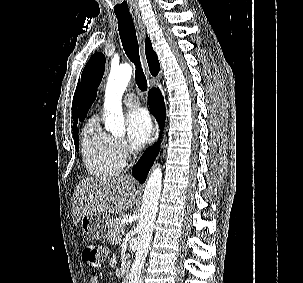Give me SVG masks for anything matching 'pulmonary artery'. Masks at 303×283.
I'll list each match as a JSON object with an SVG mask.
<instances>
[{"label":"pulmonary artery","mask_w":303,"mask_h":283,"mask_svg":"<svg viewBox=\"0 0 303 283\" xmlns=\"http://www.w3.org/2000/svg\"><path fill=\"white\" fill-rule=\"evenodd\" d=\"M123 102L128 107H136L139 105V99L135 94H126Z\"/></svg>","instance_id":"obj_1"}]
</instances>
